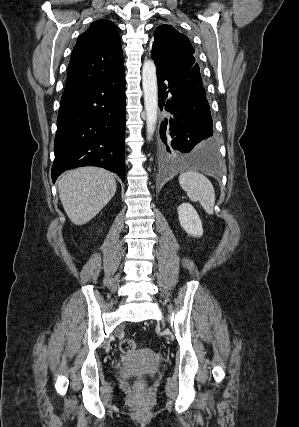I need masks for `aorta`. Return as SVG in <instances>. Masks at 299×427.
Returning a JSON list of instances; mask_svg holds the SVG:
<instances>
[{
	"label": "aorta",
	"mask_w": 299,
	"mask_h": 427,
	"mask_svg": "<svg viewBox=\"0 0 299 427\" xmlns=\"http://www.w3.org/2000/svg\"><path fill=\"white\" fill-rule=\"evenodd\" d=\"M142 87L144 93V106L146 111L147 138L150 140L156 128L158 108L156 66L151 60H148L143 64Z\"/></svg>",
	"instance_id": "aorta-1"
}]
</instances>
